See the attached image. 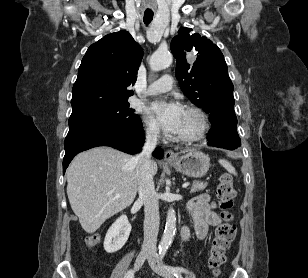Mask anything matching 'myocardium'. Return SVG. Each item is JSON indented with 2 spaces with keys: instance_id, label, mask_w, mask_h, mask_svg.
<instances>
[{
  "instance_id": "1",
  "label": "myocardium",
  "mask_w": 308,
  "mask_h": 278,
  "mask_svg": "<svg viewBox=\"0 0 308 278\" xmlns=\"http://www.w3.org/2000/svg\"><path fill=\"white\" fill-rule=\"evenodd\" d=\"M185 110L194 113L199 119V128L196 132L187 135H176V139L180 142H195L199 141L207 134L210 122L207 113L200 107L195 105L185 106Z\"/></svg>"
}]
</instances>
